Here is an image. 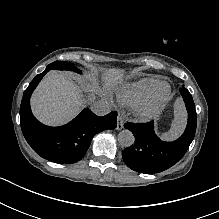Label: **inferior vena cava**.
Here are the masks:
<instances>
[{
    "label": "inferior vena cava",
    "instance_id": "602c4592",
    "mask_svg": "<svg viewBox=\"0 0 219 219\" xmlns=\"http://www.w3.org/2000/svg\"><path fill=\"white\" fill-rule=\"evenodd\" d=\"M90 109L96 115L104 116L111 111V106L110 103H108L106 100L101 99L93 102L90 106Z\"/></svg>",
    "mask_w": 219,
    "mask_h": 219
}]
</instances>
